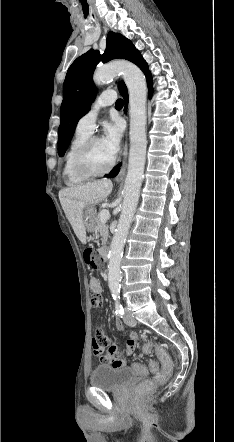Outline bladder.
Masks as SVG:
<instances>
[{
    "label": "bladder",
    "mask_w": 234,
    "mask_h": 442,
    "mask_svg": "<svg viewBox=\"0 0 234 442\" xmlns=\"http://www.w3.org/2000/svg\"><path fill=\"white\" fill-rule=\"evenodd\" d=\"M137 377L134 368L128 366L98 365L90 375V384L103 390H118Z\"/></svg>",
    "instance_id": "obj_1"
}]
</instances>
